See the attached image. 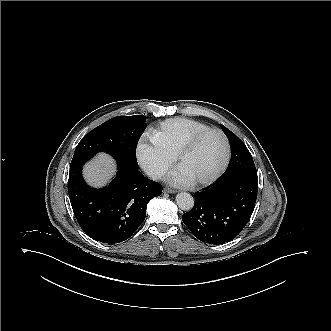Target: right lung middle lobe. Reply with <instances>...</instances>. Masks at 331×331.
Wrapping results in <instances>:
<instances>
[{
    "mask_svg": "<svg viewBox=\"0 0 331 331\" xmlns=\"http://www.w3.org/2000/svg\"><path fill=\"white\" fill-rule=\"evenodd\" d=\"M145 118L143 115L115 117L99 125L79 142L71 164L87 161L104 151L130 168L138 169L136 145L146 127Z\"/></svg>",
    "mask_w": 331,
    "mask_h": 331,
    "instance_id": "right-lung-middle-lobe-1",
    "label": "right lung middle lobe"
}]
</instances>
